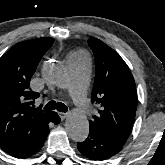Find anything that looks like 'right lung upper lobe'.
I'll return each mask as SVG.
<instances>
[{
    "instance_id": "1",
    "label": "right lung upper lobe",
    "mask_w": 165,
    "mask_h": 165,
    "mask_svg": "<svg viewBox=\"0 0 165 165\" xmlns=\"http://www.w3.org/2000/svg\"><path fill=\"white\" fill-rule=\"evenodd\" d=\"M53 42L50 37L20 42L0 58V147L4 151L38 133L55 113L35 109L32 104L39 93L28 88Z\"/></svg>"
}]
</instances>
